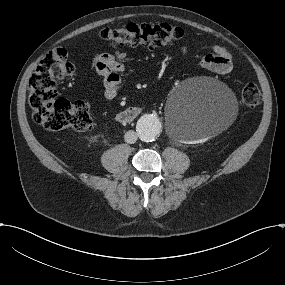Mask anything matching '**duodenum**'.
Instances as JSON below:
<instances>
[{
    "mask_svg": "<svg viewBox=\"0 0 285 285\" xmlns=\"http://www.w3.org/2000/svg\"><path fill=\"white\" fill-rule=\"evenodd\" d=\"M141 109L139 107H130L121 112L116 116V120L121 124H128L134 121L140 115Z\"/></svg>",
    "mask_w": 285,
    "mask_h": 285,
    "instance_id": "1",
    "label": "duodenum"
}]
</instances>
